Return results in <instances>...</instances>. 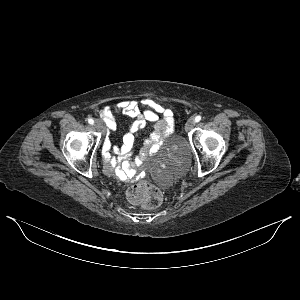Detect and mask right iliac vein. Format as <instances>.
Instances as JSON below:
<instances>
[{"mask_svg":"<svg viewBox=\"0 0 300 300\" xmlns=\"http://www.w3.org/2000/svg\"><path fill=\"white\" fill-rule=\"evenodd\" d=\"M95 127L97 128L98 131H103L104 124H103L102 120L96 119L95 120Z\"/></svg>","mask_w":300,"mask_h":300,"instance_id":"63e3f726","label":"right iliac vein"}]
</instances>
